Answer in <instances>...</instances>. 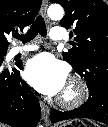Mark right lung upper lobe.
<instances>
[{
	"mask_svg": "<svg viewBox=\"0 0 108 127\" xmlns=\"http://www.w3.org/2000/svg\"><path fill=\"white\" fill-rule=\"evenodd\" d=\"M40 5L41 0H0V50L9 46L7 35L34 21Z\"/></svg>",
	"mask_w": 108,
	"mask_h": 127,
	"instance_id": "right-lung-upper-lobe-1",
	"label": "right lung upper lobe"
}]
</instances>
